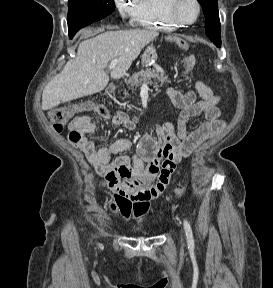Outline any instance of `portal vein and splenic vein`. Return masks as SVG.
Instances as JSON below:
<instances>
[{
	"mask_svg": "<svg viewBox=\"0 0 273 288\" xmlns=\"http://www.w3.org/2000/svg\"><path fill=\"white\" fill-rule=\"evenodd\" d=\"M117 62H118V60H117L116 58L113 59V60L110 62L108 68H109V69H113V68L117 65Z\"/></svg>",
	"mask_w": 273,
	"mask_h": 288,
	"instance_id": "1",
	"label": "portal vein and splenic vein"
}]
</instances>
